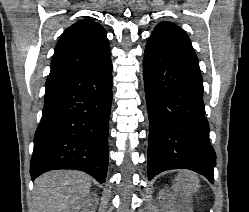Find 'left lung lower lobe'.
<instances>
[{"mask_svg":"<svg viewBox=\"0 0 249 212\" xmlns=\"http://www.w3.org/2000/svg\"><path fill=\"white\" fill-rule=\"evenodd\" d=\"M143 75L149 180L162 171L185 168L213 182L216 155L208 139L198 62L151 46L145 49Z\"/></svg>","mask_w":249,"mask_h":212,"instance_id":"obj_1","label":"left lung lower lobe"}]
</instances>
